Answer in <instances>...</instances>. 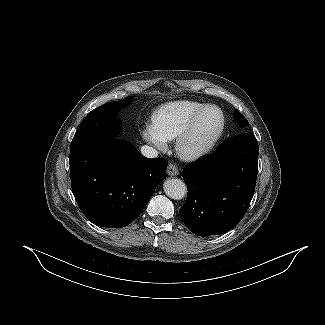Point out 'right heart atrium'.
Returning <instances> with one entry per match:
<instances>
[{
	"instance_id": "right-heart-atrium-1",
	"label": "right heart atrium",
	"mask_w": 325,
	"mask_h": 325,
	"mask_svg": "<svg viewBox=\"0 0 325 325\" xmlns=\"http://www.w3.org/2000/svg\"><path fill=\"white\" fill-rule=\"evenodd\" d=\"M142 137L145 141L162 149L166 145V141L151 127L148 126L143 132Z\"/></svg>"
}]
</instances>
